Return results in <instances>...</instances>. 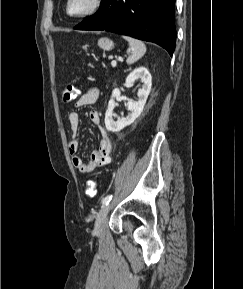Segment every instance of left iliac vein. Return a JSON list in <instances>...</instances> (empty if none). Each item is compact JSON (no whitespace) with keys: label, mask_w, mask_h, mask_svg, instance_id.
<instances>
[{"label":"left iliac vein","mask_w":243,"mask_h":289,"mask_svg":"<svg viewBox=\"0 0 243 289\" xmlns=\"http://www.w3.org/2000/svg\"><path fill=\"white\" fill-rule=\"evenodd\" d=\"M109 208H110L109 204L104 205L101 208V210L99 211V213L97 214L96 221H95V227H94V232L96 234H100L102 232L103 226H104V223L106 220V216L109 212Z\"/></svg>","instance_id":"left-iliac-vein-1"}]
</instances>
